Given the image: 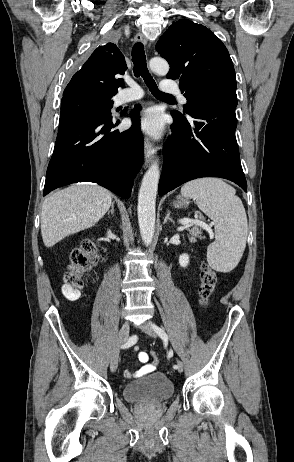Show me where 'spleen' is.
Segmentation results:
<instances>
[{
    "label": "spleen",
    "mask_w": 294,
    "mask_h": 462,
    "mask_svg": "<svg viewBox=\"0 0 294 462\" xmlns=\"http://www.w3.org/2000/svg\"><path fill=\"white\" fill-rule=\"evenodd\" d=\"M182 196L196 199L198 207L215 223V241L208 246L207 261L219 272H230L239 263L247 239V216L235 189L218 178L192 180Z\"/></svg>",
    "instance_id": "spleen-1"
}]
</instances>
